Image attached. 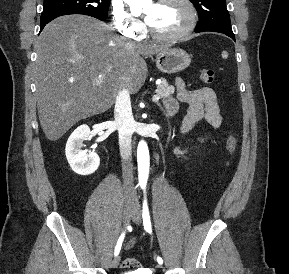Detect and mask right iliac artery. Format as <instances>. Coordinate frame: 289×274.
Returning a JSON list of instances; mask_svg holds the SVG:
<instances>
[{
	"label": "right iliac artery",
	"instance_id": "1",
	"mask_svg": "<svg viewBox=\"0 0 289 274\" xmlns=\"http://www.w3.org/2000/svg\"><path fill=\"white\" fill-rule=\"evenodd\" d=\"M128 229H130V226L127 227ZM124 238H125V232H123L118 241H117V244H116V247H115V250H114V255L117 256L121 250V246H122V243L124 241Z\"/></svg>",
	"mask_w": 289,
	"mask_h": 274
}]
</instances>
